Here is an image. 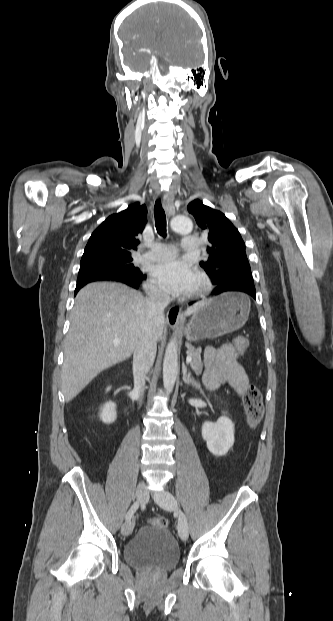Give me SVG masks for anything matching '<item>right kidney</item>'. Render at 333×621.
Returning a JSON list of instances; mask_svg holds the SVG:
<instances>
[{"instance_id": "obj_1", "label": "right kidney", "mask_w": 333, "mask_h": 621, "mask_svg": "<svg viewBox=\"0 0 333 621\" xmlns=\"http://www.w3.org/2000/svg\"><path fill=\"white\" fill-rule=\"evenodd\" d=\"M109 389L110 388H107V391ZM99 417L102 420V422L105 424L113 423L117 418L116 404L114 402L105 403L104 406L100 410Z\"/></svg>"}]
</instances>
